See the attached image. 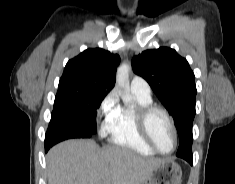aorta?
Returning a JSON list of instances; mask_svg holds the SVG:
<instances>
[{"label":"aorta","mask_w":235,"mask_h":184,"mask_svg":"<svg viewBox=\"0 0 235 184\" xmlns=\"http://www.w3.org/2000/svg\"><path fill=\"white\" fill-rule=\"evenodd\" d=\"M129 72H130V66H127V64H122L120 68L117 70L116 74V82L118 86H121V88H129ZM124 104H131L132 98L130 94H125V96H121Z\"/></svg>","instance_id":"762f6f07"}]
</instances>
